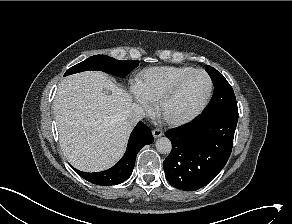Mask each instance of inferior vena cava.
<instances>
[{
    "label": "inferior vena cava",
    "instance_id": "602c4592",
    "mask_svg": "<svg viewBox=\"0 0 292 224\" xmlns=\"http://www.w3.org/2000/svg\"><path fill=\"white\" fill-rule=\"evenodd\" d=\"M145 115L144 109L136 103H133L127 110V118L131 124L137 123L143 119Z\"/></svg>",
    "mask_w": 292,
    "mask_h": 224
}]
</instances>
